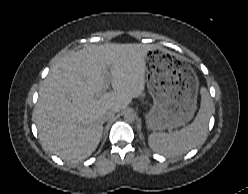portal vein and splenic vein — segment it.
<instances>
[{
  "label": "portal vein and splenic vein",
  "mask_w": 248,
  "mask_h": 194,
  "mask_svg": "<svg viewBox=\"0 0 248 194\" xmlns=\"http://www.w3.org/2000/svg\"><path fill=\"white\" fill-rule=\"evenodd\" d=\"M108 88H109V82H106V83L103 85L101 91L98 93V95L102 94V92L106 91Z\"/></svg>",
  "instance_id": "obj_1"
}]
</instances>
